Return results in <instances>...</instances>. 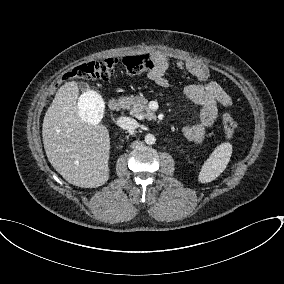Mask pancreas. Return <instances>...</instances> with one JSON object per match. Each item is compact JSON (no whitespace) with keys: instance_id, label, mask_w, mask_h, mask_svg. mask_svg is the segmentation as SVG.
Masks as SVG:
<instances>
[{"instance_id":"pancreas-1","label":"pancreas","mask_w":284,"mask_h":284,"mask_svg":"<svg viewBox=\"0 0 284 284\" xmlns=\"http://www.w3.org/2000/svg\"><path fill=\"white\" fill-rule=\"evenodd\" d=\"M122 108L128 109L130 114L138 119H155V113L148 107V100L144 97L131 96L121 97Z\"/></svg>"}]
</instances>
